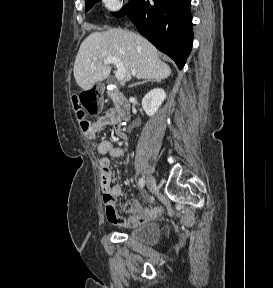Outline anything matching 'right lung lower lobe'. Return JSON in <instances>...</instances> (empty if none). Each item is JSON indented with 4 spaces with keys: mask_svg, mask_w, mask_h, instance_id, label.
<instances>
[{
    "mask_svg": "<svg viewBox=\"0 0 273 288\" xmlns=\"http://www.w3.org/2000/svg\"><path fill=\"white\" fill-rule=\"evenodd\" d=\"M191 0H135L126 14L139 33L169 55L179 69L185 65L193 41Z\"/></svg>",
    "mask_w": 273,
    "mask_h": 288,
    "instance_id": "98d812e1",
    "label": "right lung lower lobe"
}]
</instances>
